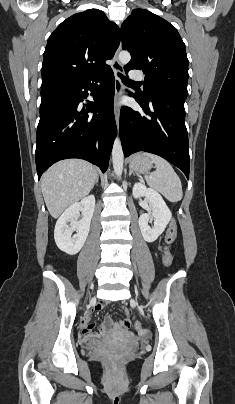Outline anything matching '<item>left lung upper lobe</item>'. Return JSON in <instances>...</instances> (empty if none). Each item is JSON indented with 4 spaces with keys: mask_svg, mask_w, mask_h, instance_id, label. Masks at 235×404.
<instances>
[{
    "mask_svg": "<svg viewBox=\"0 0 235 404\" xmlns=\"http://www.w3.org/2000/svg\"><path fill=\"white\" fill-rule=\"evenodd\" d=\"M122 46L131 53L125 71L145 74L140 97L171 95L186 99L188 59L185 44L174 26L143 9H135L121 27Z\"/></svg>",
    "mask_w": 235,
    "mask_h": 404,
    "instance_id": "obj_1",
    "label": "left lung upper lobe"
}]
</instances>
